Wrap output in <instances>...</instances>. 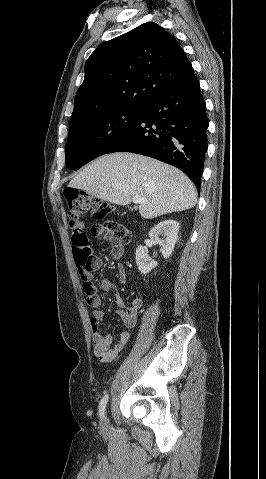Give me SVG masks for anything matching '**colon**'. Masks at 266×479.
<instances>
[{
	"instance_id": "1",
	"label": "colon",
	"mask_w": 266,
	"mask_h": 479,
	"mask_svg": "<svg viewBox=\"0 0 266 479\" xmlns=\"http://www.w3.org/2000/svg\"><path fill=\"white\" fill-rule=\"evenodd\" d=\"M64 197L70 219L71 243L76 269L80 275L87 302L94 306L97 303L98 295L96 286L89 276L92 270V256L88 238L82 230L83 217L86 214H92L96 220L100 221L112 211V207L100 198L74 188L65 189ZM91 231L99 240L111 243L125 242L129 239L127 229L116 221L107 220L96 223L92 226Z\"/></svg>"
}]
</instances>
